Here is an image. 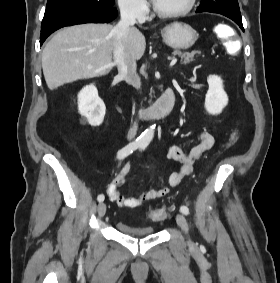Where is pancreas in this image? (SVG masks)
Masks as SVG:
<instances>
[{
  "instance_id": "obj_1",
  "label": "pancreas",
  "mask_w": 280,
  "mask_h": 283,
  "mask_svg": "<svg viewBox=\"0 0 280 283\" xmlns=\"http://www.w3.org/2000/svg\"><path fill=\"white\" fill-rule=\"evenodd\" d=\"M200 54H201L200 51H192V52L189 53V52H181L179 50H175V51L172 52L173 56H177V55L180 56L183 59V63L184 64H188V63L194 61L195 60V56L196 55H200Z\"/></svg>"
}]
</instances>
